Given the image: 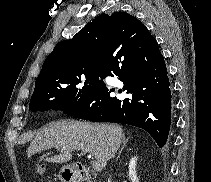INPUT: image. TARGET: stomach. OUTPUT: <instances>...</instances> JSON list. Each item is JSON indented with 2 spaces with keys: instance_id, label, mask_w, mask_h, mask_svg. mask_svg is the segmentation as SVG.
<instances>
[{
  "instance_id": "1",
  "label": "stomach",
  "mask_w": 211,
  "mask_h": 182,
  "mask_svg": "<svg viewBox=\"0 0 211 182\" xmlns=\"http://www.w3.org/2000/svg\"><path fill=\"white\" fill-rule=\"evenodd\" d=\"M77 173L71 166H63L59 172L61 182H77Z\"/></svg>"
}]
</instances>
